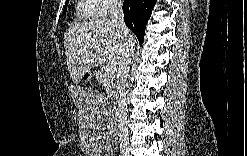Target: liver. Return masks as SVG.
I'll list each match as a JSON object with an SVG mask.
<instances>
[{"mask_svg":"<svg viewBox=\"0 0 247 156\" xmlns=\"http://www.w3.org/2000/svg\"><path fill=\"white\" fill-rule=\"evenodd\" d=\"M130 35L134 42V35ZM123 43L121 32L109 19L90 20L69 27L64 35V47L72 81L79 83L91 67L105 61L118 67Z\"/></svg>","mask_w":247,"mask_h":156,"instance_id":"1","label":"liver"}]
</instances>
